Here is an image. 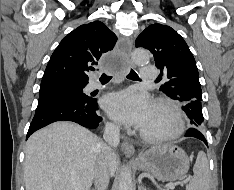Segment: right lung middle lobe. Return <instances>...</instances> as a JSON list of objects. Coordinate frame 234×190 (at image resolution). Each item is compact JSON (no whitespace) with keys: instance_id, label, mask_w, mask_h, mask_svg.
<instances>
[{"instance_id":"obj_1","label":"right lung middle lobe","mask_w":234,"mask_h":190,"mask_svg":"<svg viewBox=\"0 0 234 190\" xmlns=\"http://www.w3.org/2000/svg\"><path fill=\"white\" fill-rule=\"evenodd\" d=\"M83 88V85L76 84L74 82H70L63 79H50L42 81L40 85L38 102L42 101L48 96L58 93H65L71 96H78L81 97L82 100L88 102L89 96L83 93Z\"/></svg>"}]
</instances>
